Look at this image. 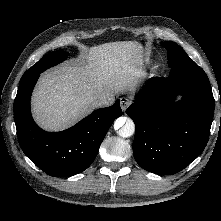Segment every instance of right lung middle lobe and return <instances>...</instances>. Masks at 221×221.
Returning <instances> with one entry per match:
<instances>
[{
	"mask_svg": "<svg viewBox=\"0 0 221 221\" xmlns=\"http://www.w3.org/2000/svg\"><path fill=\"white\" fill-rule=\"evenodd\" d=\"M68 55V52L63 51H54L45 55L35 65H33L24 73L21 80L26 79L36 73H41L44 70L64 61Z\"/></svg>",
	"mask_w": 221,
	"mask_h": 221,
	"instance_id": "right-lung-middle-lobe-1",
	"label": "right lung middle lobe"
}]
</instances>
